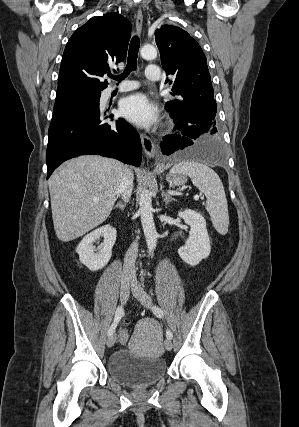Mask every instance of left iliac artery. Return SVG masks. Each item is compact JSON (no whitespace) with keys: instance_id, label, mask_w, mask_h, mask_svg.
<instances>
[{"instance_id":"1","label":"left iliac artery","mask_w":299,"mask_h":427,"mask_svg":"<svg viewBox=\"0 0 299 427\" xmlns=\"http://www.w3.org/2000/svg\"><path fill=\"white\" fill-rule=\"evenodd\" d=\"M152 310L157 317L159 318L163 317V311L158 306H153ZM166 337L169 339H172L173 337V334L169 329L166 331Z\"/></svg>"}]
</instances>
